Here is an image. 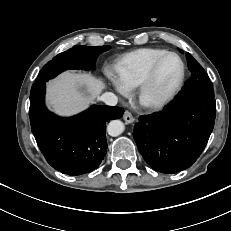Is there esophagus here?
<instances>
[{"label":"esophagus","mask_w":231,"mask_h":231,"mask_svg":"<svg viewBox=\"0 0 231 231\" xmlns=\"http://www.w3.org/2000/svg\"><path fill=\"white\" fill-rule=\"evenodd\" d=\"M123 119L126 123H132L134 121V117L130 112L126 111L123 115Z\"/></svg>","instance_id":"1"}]
</instances>
